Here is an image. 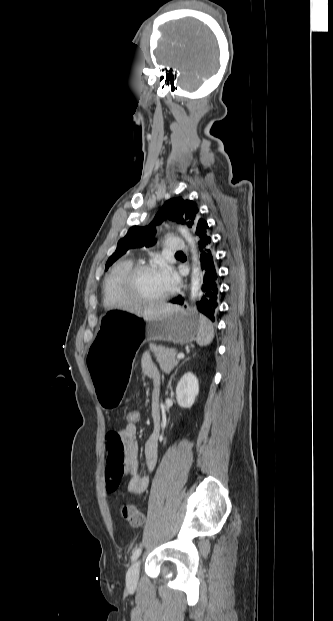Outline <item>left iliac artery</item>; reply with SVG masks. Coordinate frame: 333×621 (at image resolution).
I'll return each instance as SVG.
<instances>
[{
    "mask_svg": "<svg viewBox=\"0 0 333 621\" xmlns=\"http://www.w3.org/2000/svg\"><path fill=\"white\" fill-rule=\"evenodd\" d=\"M141 551H142V548H141V547H139V548L135 549V550H134V552H133V554H132L131 560H132V561L136 560V559L139 557V555H140Z\"/></svg>",
    "mask_w": 333,
    "mask_h": 621,
    "instance_id": "left-iliac-artery-1",
    "label": "left iliac artery"
}]
</instances>
